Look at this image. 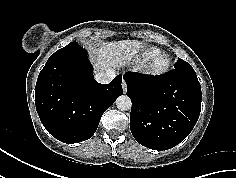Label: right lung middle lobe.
<instances>
[{"label":"right lung middle lobe","mask_w":236,"mask_h":178,"mask_svg":"<svg viewBox=\"0 0 236 178\" xmlns=\"http://www.w3.org/2000/svg\"><path fill=\"white\" fill-rule=\"evenodd\" d=\"M77 44H78L77 42H71L67 46H65L64 48H61V49L69 48V47L77 45Z\"/></svg>","instance_id":"right-lung-middle-lobe-1"}]
</instances>
